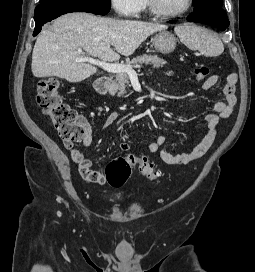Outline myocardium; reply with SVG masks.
I'll list each match as a JSON object with an SVG mask.
<instances>
[{
  "mask_svg": "<svg viewBox=\"0 0 255 272\" xmlns=\"http://www.w3.org/2000/svg\"><path fill=\"white\" fill-rule=\"evenodd\" d=\"M146 2H147L148 10L153 16L164 18V19H172V18L181 17L184 14H186L192 8V5H193V0H188L187 5L184 9L178 12L169 13L160 9L158 5V0H146Z\"/></svg>",
  "mask_w": 255,
  "mask_h": 272,
  "instance_id": "f54148a6",
  "label": "myocardium"
}]
</instances>
